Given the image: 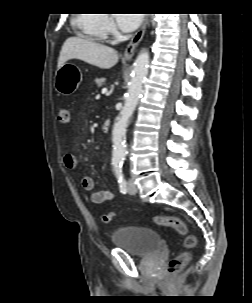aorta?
Segmentation results:
<instances>
[{
    "instance_id": "aorta-1",
    "label": "aorta",
    "mask_w": 252,
    "mask_h": 303,
    "mask_svg": "<svg viewBox=\"0 0 252 303\" xmlns=\"http://www.w3.org/2000/svg\"><path fill=\"white\" fill-rule=\"evenodd\" d=\"M149 53L141 51L133 65L131 80L128 92L125 98L124 106L116 119L112 132L113 152L112 164L114 166L121 165L127 156V147L125 143V129L128 121L132 116L137 102L139 101L143 85L148 75Z\"/></svg>"
}]
</instances>
